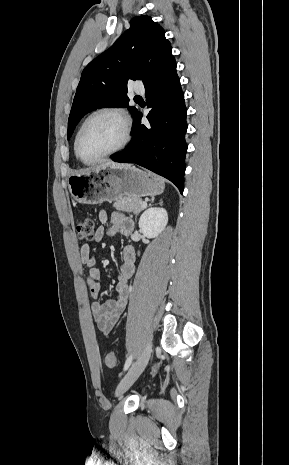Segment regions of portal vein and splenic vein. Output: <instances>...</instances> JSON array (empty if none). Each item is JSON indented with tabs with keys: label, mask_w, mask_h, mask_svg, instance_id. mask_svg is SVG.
Here are the masks:
<instances>
[{
	"label": "portal vein and splenic vein",
	"mask_w": 289,
	"mask_h": 465,
	"mask_svg": "<svg viewBox=\"0 0 289 465\" xmlns=\"http://www.w3.org/2000/svg\"><path fill=\"white\" fill-rule=\"evenodd\" d=\"M147 205V203L144 201L142 202V206L145 207Z\"/></svg>",
	"instance_id": "portal-vein-and-splenic-vein-1"
}]
</instances>
